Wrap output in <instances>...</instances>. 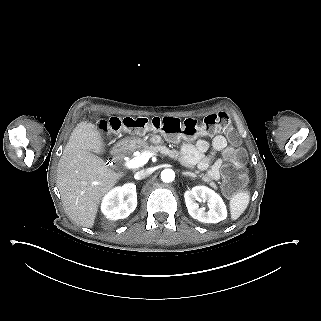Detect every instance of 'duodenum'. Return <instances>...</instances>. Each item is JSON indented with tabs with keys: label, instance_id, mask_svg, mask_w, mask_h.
<instances>
[{
	"label": "duodenum",
	"instance_id": "410a0bca",
	"mask_svg": "<svg viewBox=\"0 0 321 321\" xmlns=\"http://www.w3.org/2000/svg\"><path fill=\"white\" fill-rule=\"evenodd\" d=\"M124 151V147L123 146H116L113 150H112V154H111V158L112 160H117L121 157L122 153Z\"/></svg>",
	"mask_w": 321,
	"mask_h": 321
}]
</instances>
